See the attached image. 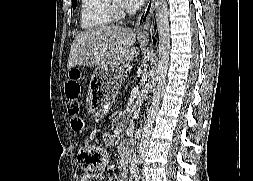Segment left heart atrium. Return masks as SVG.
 Wrapping results in <instances>:
<instances>
[{
    "label": "left heart atrium",
    "instance_id": "39dd6f15",
    "mask_svg": "<svg viewBox=\"0 0 253 181\" xmlns=\"http://www.w3.org/2000/svg\"><path fill=\"white\" fill-rule=\"evenodd\" d=\"M122 2L128 9H138L144 4L145 0H122Z\"/></svg>",
    "mask_w": 253,
    "mask_h": 181
}]
</instances>
